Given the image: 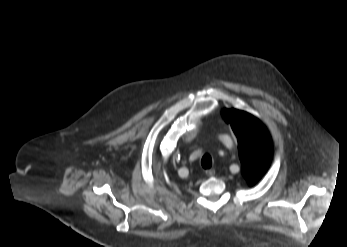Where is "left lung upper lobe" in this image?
Instances as JSON below:
<instances>
[{
  "mask_svg": "<svg viewBox=\"0 0 347 247\" xmlns=\"http://www.w3.org/2000/svg\"><path fill=\"white\" fill-rule=\"evenodd\" d=\"M222 116L238 137L242 174L248 185L258 182L270 166L272 140L266 127L253 115L236 109H224Z\"/></svg>",
  "mask_w": 347,
  "mask_h": 247,
  "instance_id": "left-lung-upper-lobe-1",
  "label": "left lung upper lobe"
}]
</instances>
